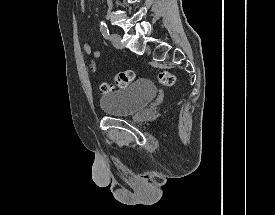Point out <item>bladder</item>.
<instances>
[{"instance_id":"bladder-1","label":"bladder","mask_w":275,"mask_h":215,"mask_svg":"<svg viewBox=\"0 0 275 215\" xmlns=\"http://www.w3.org/2000/svg\"><path fill=\"white\" fill-rule=\"evenodd\" d=\"M156 94V86L141 78L122 89L106 93L100 100V107L108 116L131 117L149 104Z\"/></svg>"}]
</instances>
